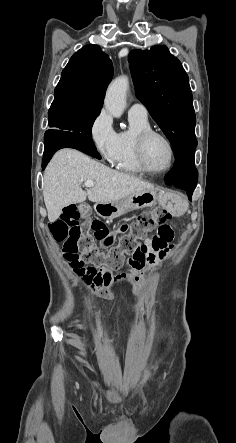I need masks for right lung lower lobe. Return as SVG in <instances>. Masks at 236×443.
Listing matches in <instances>:
<instances>
[{
    "label": "right lung lower lobe",
    "instance_id": "1",
    "mask_svg": "<svg viewBox=\"0 0 236 443\" xmlns=\"http://www.w3.org/2000/svg\"><path fill=\"white\" fill-rule=\"evenodd\" d=\"M75 148L92 157L101 159L100 154L97 152L93 142H89L85 139L75 136H65L58 133L45 134V147L42 160V170L50 161L53 154L61 148Z\"/></svg>",
    "mask_w": 236,
    "mask_h": 443
}]
</instances>
